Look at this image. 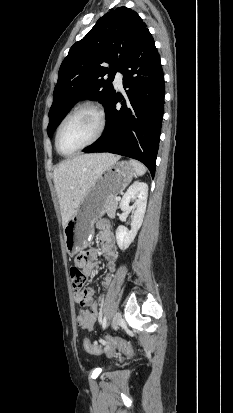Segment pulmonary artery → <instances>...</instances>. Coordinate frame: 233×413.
<instances>
[{"label": "pulmonary artery", "instance_id": "pulmonary-artery-1", "mask_svg": "<svg viewBox=\"0 0 233 413\" xmlns=\"http://www.w3.org/2000/svg\"><path fill=\"white\" fill-rule=\"evenodd\" d=\"M122 82H123V75L121 72H117L115 75V79H114L115 86H117L118 88H121Z\"/></svg>", "mask_w": 233, "mask_h": 413}]
</instances>
